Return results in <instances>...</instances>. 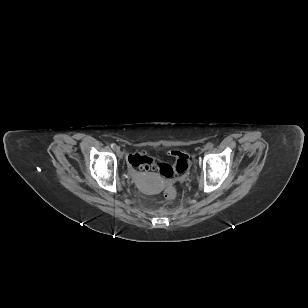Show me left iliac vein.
<instances>
[{"mask_svg": "<svg viewBox=\"0 0 308 308\" xmlns=\"http://www.w3.org/2000/svg\"><path fill=\"white\" fill-rule=\"evenodd\" d=\"M207 149H208L207 147H204V148H203V151H205V150H207Z\"/></svg>", "mask_w": 308, "mask_h": 308, "instance_id": "obj_1", "label": "left iliac vein"}]
</instances>
